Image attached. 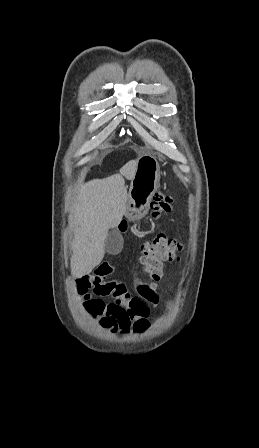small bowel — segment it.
<instances>
[{
    "label": "small bowel",
    "mask_w": 259,
    "mask_h": 448,
    "mask_svg": "<svg viewBox=\"0 0 259 448\" xmlns=\"http://www.w3.org/2000/svg\"><path fill=\"white\" fill-rule=\"evenodd\" d=\"M127 229L126 224L119 227V232ZM113 272L110 263L102 262L93 272L76 281L74 287L82 300L84 310L101 327L112 332H141L150 326L151 311L159 303V296L151 285L139 284L133 295L122 282L106 280ZM97 296H111L113 301L105 302ZM167 307L172 302L167 301Z\"/></svg>",
    "instance_id": "c3829d8e"
}]
</instances>
